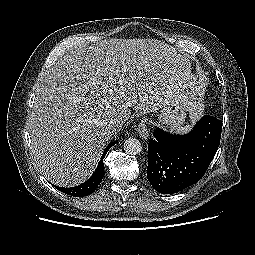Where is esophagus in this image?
<instances>
[{
  "label": "esophagus",
  "mask_w": 255,
  "mask_h": 255,
  "mask_svg": "<svg viewBox=\"0 0 255 255\" xmlns=\"http://www.w3.org/2000/svg\"><path fill=\"white\" fill-rule=\"evenodd\" d=\"M137 131L143 139H148L149 133H148V129H147V119H142L139 122V124L137 126Z\"/></svg>",
  "instance_id": "34e87169"
}]
</instances>
